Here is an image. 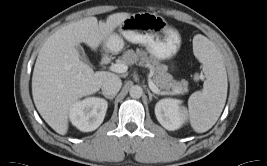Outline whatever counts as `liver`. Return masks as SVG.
Instances as JSON below:
<instances>
[{"label":"liver","mask_w":267,"mask_h":166,"mask_svg":"<svg viewBox=\"0 0 267 166\" xmlns=\"http://www.w3.org/2000/svg\"><path fill=\"white\" fill-rule=\"evenodd\" d=\"M129 16L111 14L99 24L96 17H86L60 28L44 42L34 66L32 95L39 114L58 134L67 133L70 110L78 99L96 93L107 78L116 76L94 72L80 59L76 47L83 42L97 50Z\"/></svg>","instance_id":"liver-1"}]
</instances>
